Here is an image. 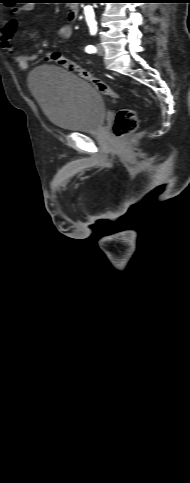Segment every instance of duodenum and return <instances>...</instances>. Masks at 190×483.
<instances>
[{
	"label": "duodenum",
	"instance_id": "410a0bca",
	"mask_svg": "<svg viewBox=\"0 0 190 483\" xmlns=\"http://www.w3.org/2000/svg\"><path fill=\"white\" fill-rule=\"evenodd\" d=\"M78 15H79V6L76 3V1H73L68 8V18L73 21L78 18Z\"/></svg>",
	"mask_w": 190,
	"mask_h": 483
}]
</instances>
